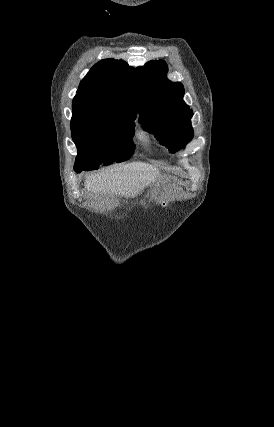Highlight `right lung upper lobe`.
Instances as JSON below:
<instances>
[{"label": "right lung upper lobe", "instance_id": "right-lung-upper-lobe-1", "mask_svg": "<svg viewBox=\"0 0 274 427\" xmlns=\"http://www.w3.org/2000/svg\"><path fill=\"white\" fill-rule=\"evenodd\" d=\"M133 68L112 58L95 64L81 81L73 99V112L125 109L136 113L130 99Z\"/></svg>", "mask_w": 274, "mask_h": 427}]
</instances>
